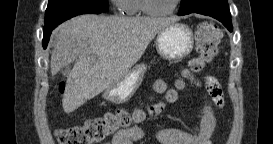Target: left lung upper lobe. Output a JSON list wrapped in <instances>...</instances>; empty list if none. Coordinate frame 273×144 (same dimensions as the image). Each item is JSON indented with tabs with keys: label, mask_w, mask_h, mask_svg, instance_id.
Returning a JSON list of instances; mask_svg holds the SVG:
<instances>
[{
	"label": "left lung upper lobe",
	"mask_w": 273,
	"mask_h": 144,
	"mask_svg": "<svg viewBox=\"0 0 273 144\" xmlns=\"http://www.w3.org/2000/svg\"><path fill=\"white\" fill-rule=\"evenodd\" d=\"M194 2L195 0H182L179 12H186L194 8Z\"/></svg>",
	"instance_id": "5c2ea615"
}]
</instances>
